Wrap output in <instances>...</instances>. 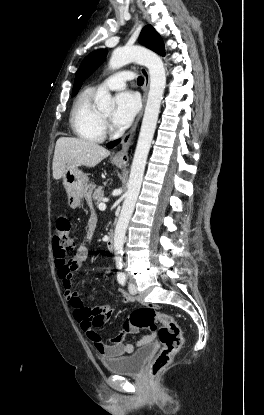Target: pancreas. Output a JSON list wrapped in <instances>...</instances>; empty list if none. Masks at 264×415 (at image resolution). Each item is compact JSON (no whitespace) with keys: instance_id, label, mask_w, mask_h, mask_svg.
Segmentation results:
<instances>
[{"instance_id":"1","label":"pancreas","mask_w":264,"mask_h":415,"mask_svg":"<svg viewBox=\"0 0 264 415\" xmlns=\"http://www.w3.org/2000/svg\"><path fill=\"white\" fill-rule=\"evenodd\" d=\"M104 197V191L103 188L100 186L94 190L93 194V200L96 202L97 205H99Z\"/></svg>"}]
</instances>
